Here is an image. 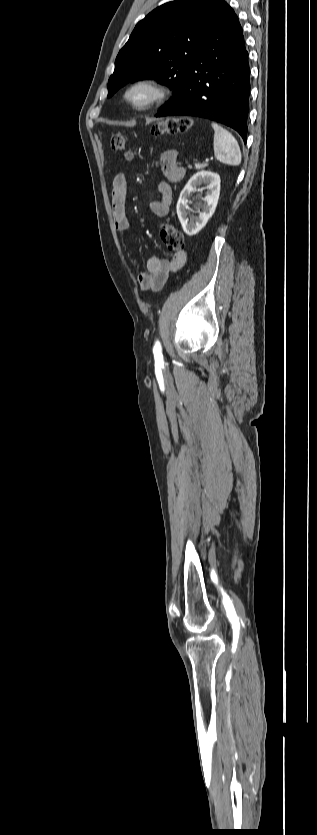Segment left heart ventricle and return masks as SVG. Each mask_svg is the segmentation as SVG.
<instances>
[{
    "label": "left heart ventricle",
    "instance_id": "1",
    "mask_svg": "<svg viewBox=\"0 0 317 835\" xmlns=\"http://www.w3.org/2000/svg\"><path fill=\"white\" fill-rule=\"evenodd\" d=\"M143 96H144V94H143L142 92H137V93L135 94V98H136V99H141Z\"/></svg>",
    "mask_w": 317,
    "mask_h": 835
}]
</instances>
